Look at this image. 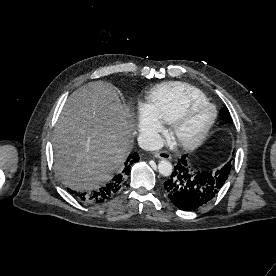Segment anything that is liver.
I'll return each instance as SVG.
<instances>
[{
    "label": "liver",
    "mask_w": 276,
    "mask_h": 276,
    "mask_svg": "<svg viewBox=\"0 0 276 276\" xmlns=\"http://www.w3.org/2000/svg\"><path fill=\"white\" fill-rule=\"evenodd\" d=\"M133 122L112 84L94 81L74 91L53 136L55 168L63 183L90 191L110 180L131 151Z\"/></svg>",
    "instance_id": "1"
}]
</instances>
